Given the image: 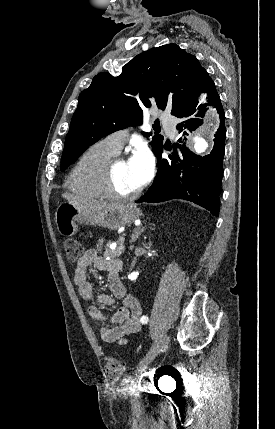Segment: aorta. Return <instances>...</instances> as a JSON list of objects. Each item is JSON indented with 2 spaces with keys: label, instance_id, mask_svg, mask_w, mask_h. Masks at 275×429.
<instances>
[{
  "label": "aorta",
  "instance_id": "1",
  "mask_svg": "<svg viewBox=\"0 0 275 429\" xmlns=\"http://www.w3.org/2000/svg\"><path fill=\"white\" fill-rule=\"evenodd\" d=\"M215 122H216V116L211 111L209 112V116L206 122V130L202 132H198L192 139L196 152L202 153L208 148L207 138H208L209 130L215 125Z\"/></svg>",
  "mask_w": 275,
  "mask_h": 429
}]
</instances>
